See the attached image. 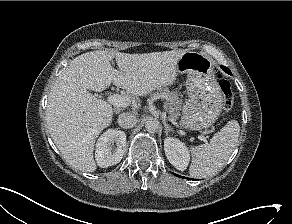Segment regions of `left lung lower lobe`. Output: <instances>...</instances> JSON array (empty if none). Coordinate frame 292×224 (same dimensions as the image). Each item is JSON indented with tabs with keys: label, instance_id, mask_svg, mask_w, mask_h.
Masks as SVG:
<instances>
[{
	"label": "left lung lower lobe",
	"instance_id": "obj_1",
	"mask_svg": "<svg viewBox=\"0 0 292 224\" xmlns=\"http://www.w3.org/2000/svg\"><path fill=\"white\" fill-rule=\"evenodd\" d=\"M179 177H181V178H185V177H183V176H179ZM186 179H190V178H186Z\"/></svg>",
	"mask_w": 292,
	"mask_h": 224
}]
</instances>
